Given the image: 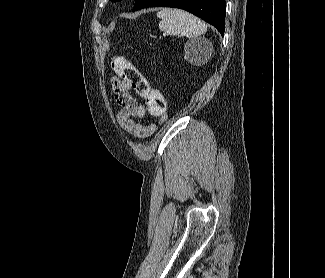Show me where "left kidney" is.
<instances>
[{"instance_id": "1", "label": "left kidney", "mask_w": 325, "mask_h": 278, "mask_svg": "<svg viewBox=\"0 0 325 278\" xmlns=\"http://www.w3.org/2000/svg\"><path fill=\"white\" fill-rule=\"evenodd\" d=\"M184 58L186 60H188V61H193V56H192V54H191V52H190L189 49H186V51H185V57Z\"/></svg>"}]
</instances>
